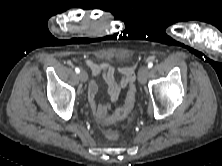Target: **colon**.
<instances>
[{"label":"colon","instance_id":"colon-1","mask_svg":"<svg viewBox=\"0 0 222 166\" xmlns=\"http://www.w3.org/2000/svg\"><path fill=\"white\" fill-rule=\"evenodd\" d=\"M135 96H136V87L134 84H131L124 101V104L119 107L106 121L107 124L116 123L118 121H121L125 119L131 110L134 107L135 104ZM106 135L109 139L115 140L117 138V133L112 130H108L106 132Z\"/></svg>","mask_w":222,"mask_h":166}]
</instances>
